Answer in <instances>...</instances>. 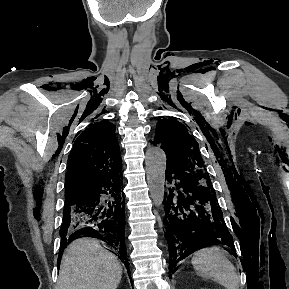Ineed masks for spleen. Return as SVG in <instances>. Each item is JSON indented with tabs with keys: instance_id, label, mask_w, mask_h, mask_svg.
<instances>
[{
	"instance_id": "3e777b00",
	"label": "spleen",
	"mask_w": 289,
	"mask_h": 289,
	"mask_svg": "<svg viewBox=\"0 0 289 289\" xmlns=\"http://www.w3.org/2000/svg\"><path fill=\"white\" fill-rule=\"evenodd\" d=\"M192 265L204 278H211L225 289H239V276L224 250L217 246L203 248L192 258Z\"/></svg>"
}]
</instances>
